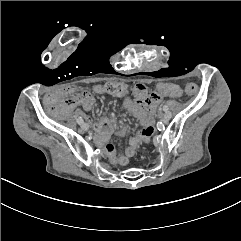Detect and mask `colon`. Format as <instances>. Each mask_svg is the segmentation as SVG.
<instances>
[{
  "mask_svg": "<svg viewBox=\"0 0 241 241\" xmlns=\"http://www.w3.org/2000/svg\"><path fill=\"white\" fill-rule=\"evenodd\" d=\"M125 81L124 79H112L106 82L104 86V91L108 93L110 98H115L117 95L119 96L124 91ZM185 91L189 94L196 93L198 87L193 83L186 84L184 87ZM158 93L160 95H171L174 93L175 88L172 84H160L158 86Z\"/></svg>",
  "mask_w": 241,
  "mask_h": 241,
  "instance_id": "1",
  "label": "colon"
}]
</instances>
